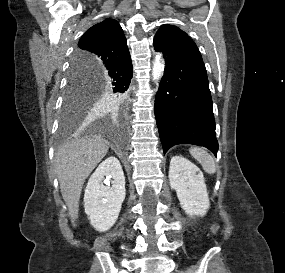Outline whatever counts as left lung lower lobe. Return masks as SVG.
Listing matches in <instances>:
<instances>
[{
    "label": "left lung lower lobe",
    "mask_w": 285,
    "mask_h": 273,
    "mask_svg": "<svg viewBox=\"0 0 285 273\" xmlns=\"http://www.w3.org/2000/svg\"><path fill=\"white\" fill-rule=\"evenodd\" d=\"M154 49L166 61L155 98V117L163 146L200 145L215 155L218 141L207 72L199 49L185 35L156 34Z\"/></svg>",
    "instance_id": "left-lung-lower-lobe-1"
}]
</instances>
